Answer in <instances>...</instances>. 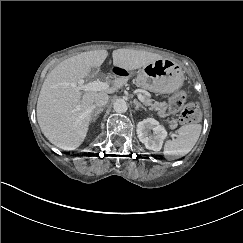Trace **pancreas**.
<instances>
[{"label": "pancreas", "mask_w": 243, "mask_h": 243, "mask_svg": "<svg viewBox=\"0 0 243 243\" xmlns=\"http://www.w3.org/2000/svg\"><path fill=\"white\" fill-rule=\"evenodd\" d=\"M144 103L148 106H151L152 109L158 111V115L162 118H165L168 116V114L166 113V103L165 102H153L152 99H144ZM168 123L170 124L169 127L170 129H176L178 126L177 120L176 119H172V120H168Z\"/></svg>", "instance_id": "pancreas-1"}]
</instances>
